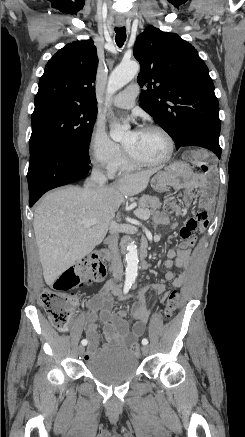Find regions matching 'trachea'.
Returning a JSON list of instances; mask_svg holds the SVG:
<instances>
[{
  "label": "trachea",
  "mask_w": 245,
  "mask_h": 437,
  "mask_svg": "<svg viewBox=\"0 0 245 437\" xmlns=\"http://www.w3.org/2000/svg\"><path fill=\"white\" fill-rule=\"evenodd\" d=\"M115 32H116L115 41L118 47L121 48L126 40V29L125 27H116Z\"/></svg>",
  "instance_id": "3493384b"
}]
</instances>
